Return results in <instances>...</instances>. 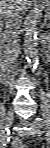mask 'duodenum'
Returning <instances> with one entry per match:
<instances>
[{
	"label": "duodenum",
	"instance_id": "1",
	"mask_svg": "<svg viewBox=\"0 0 50 148\" xmlns=\"http://www.w3.org/2000/svg\"><path fill=\"white\" fill-rule=\"evenodd\" d=\"M1 82L2 83H7L8 82V74L5 71L4 67L1 70Z\"/></svg>",
	"mask_w": 50,
	"mask_h": 148
}]
</instances>
